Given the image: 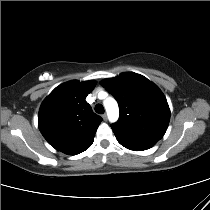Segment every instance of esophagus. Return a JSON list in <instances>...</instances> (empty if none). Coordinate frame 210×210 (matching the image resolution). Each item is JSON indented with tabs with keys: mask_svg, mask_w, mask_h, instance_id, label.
I'll use <instances>...</instances> for the list:
<instances>
[{
	"mask_svg": "<svg viewBox=\"0 0 210 210\" xmlns=\"http://www.w3.org/2000/svg\"><path fill=\"white\" fill-rule=\"evenodd\" d=\"M102 118H103L104 121H107V119H108L107 114H103Z\"/></svg>",
	"mask_w": 210,
	"mask_h": 210,
	"instance_id": "1",
	"label": "esophagus"
}]
</instances>
